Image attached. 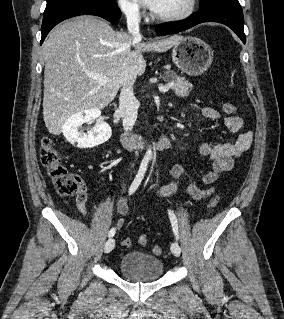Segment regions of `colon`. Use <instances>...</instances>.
I'll list each match as a JSON object with an SVG mask.
<instances>
[{"mask_svg": "<svg viewBox=\"0 0 284 319\" xmlns=\"http://www.w3.org/2000/svg\"><path fill=\"white\" fill-rule=\"evenodd\" d=\"M226 114H233L235 106L232 103L226 102L222 106ZM40 160L42 165L46 168L56 192L63 197H71L79 193L82 187V181L79 176L68 172L66 167L62 164L61 155L54 146L52 140L44 137L41 140L40 146ZM220 197L215 195L209 201V208H214L219 203ZM138 242L141 245H146L148 238L146 235H140ZM122 246L128 247L131 245V240L126 238L121 242ZM153 253L160 255L162 248L155 245L152 249Z\"/></svg>", "mask_w": 284, "mask_h": 319, "instance_id": "colon-1", "label": "colon"}]
</instances>
